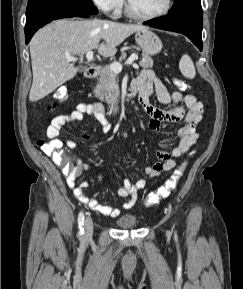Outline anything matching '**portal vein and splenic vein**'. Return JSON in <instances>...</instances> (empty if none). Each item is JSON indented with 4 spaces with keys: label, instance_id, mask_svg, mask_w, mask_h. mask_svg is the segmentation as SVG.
<instances>
[{
    "label": "portal vein and splenic vein",
    "instance_id": "obj_1",
    "mask_svg": "<svg viewBox=\"0 0 243 289\" xmlns=\"http://www.w3.org/2000/svg\"><path fill=\"white\" fill-rule=\"evenodd\" d=\"M66 58H67V61H70V62H75V61L78 60L77 57L70 56V55H67ZM80 59L82 60V58H80ZM86 59H87V61H93V51H92V50H89V51L87 52V54H86ZM137 59H138V56L135 55V54H133V55H131V56L127 59V61H126L125 63H126V64H131V65H133V66H136V64H134V61L137 60ZM110 68H111V70H112L114 73H119V72H121V70H122V64H120V63H118V62L112 63V64L110 65Z\"/></svg>",
    "mask_w": 243,
    "mask_h": 289
}]
</instances>
